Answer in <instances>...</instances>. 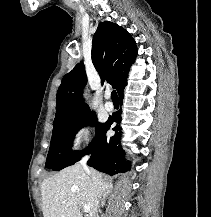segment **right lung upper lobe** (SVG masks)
<instances>
[{
  "label": "right lung upper lobe",
  "mask_w": 211,
  "mask_h": 217,
  "mask_svg": "<svg viewBox=\"0 0 211 217\" xmlns=\"http://www.w3.org/2000/svg\"><path fill=\"white\" fill-rule=\"evenodd\" d=\"M91 52L101 83L106 80L119 94L127 83L130 65L137 56L134 39L121 26L108 21L102 22L93 36ZM86 82L87 76L82 62L64 76L56 95L54 127L91 113L82 98Z\"/></svg>",
  "instance_id": "right-lung-upper-lobe-1"
}]
</instances>
